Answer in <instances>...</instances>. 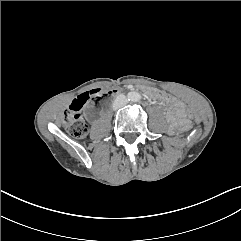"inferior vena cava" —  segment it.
Instances as JSON below:
<instances>
[{
	"mask_svg": "<svg viewBox=\"0 0 241 241\" xmlns=\"http://www.w3.org/2000/svg\"><path fill=\"white\" fill-rule=\"evenodd\" d=\"M128 103V100L125 95L120 94L116 97V99L113 102V109L116 110L120 107H123Z\"/></svg>",
	"mask_w": 241,
	"mask_h": 241,
	"instance_id": "obj_1",
	"label": "inferior vena cava"
}]
</instances>
